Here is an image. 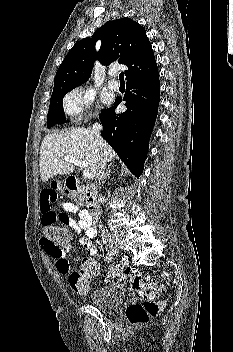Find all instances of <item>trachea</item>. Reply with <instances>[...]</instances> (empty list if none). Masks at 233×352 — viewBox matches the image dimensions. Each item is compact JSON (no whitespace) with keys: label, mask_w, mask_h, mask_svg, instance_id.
<instances>
[{"label":"trachea","mask_w":233,"mask_h":352,"mask_svg":"<svg viewBox=\"0 0 233 352\" xmlns=\"http://www.w3.org/2000/svg\"><path fill=\"white\" fill-rule=\"evenodd\" d=\"M119 80H120L121 82H124V73H123V72H121V73L119 74Z\"/></svg>","instance_id":"3493384b"}]
</instances>
